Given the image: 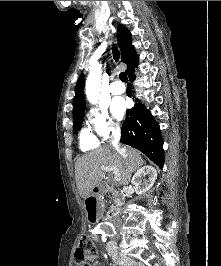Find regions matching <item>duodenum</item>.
Here are the masks:
<instances>
[{
  "label": "duodenum",
  "mask_w": 221,
  "mask_h": 266,
  "mask_svg": "<svg viewBox=\"0 0 221 266\" xmlns=\"http://www.w3.org/2000/svg\"><path fill=\"white\" fill-rule=\"evenodd\" d=\"M86 198L87 210L86 219L88 223H99L102 219L103 213V201L102 195L104 191L100 186H95L94 189H89ZM114 217V211L112 209L106 212V218L111 220Z\"/></svg>",
  "instance_id": "1"
}]
</instances>
